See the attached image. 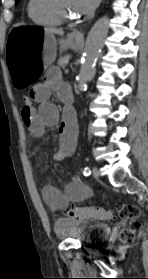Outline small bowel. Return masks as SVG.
Segmentation results:
<instances>
[{
	"label": "small bowel",
	"instance_id": "small-bowel-1",
	"mask_svg": "<svg viewBox=\"0 0 148 279\" xmlns=\"http://www.w3.org/2000/svg\"><path fill=\"white\" fill-rule=\"evenodd\" d=\"M52 90L66 104L62 110L49 101ZM29 94L33 102L39 106L35 108L33 103L30 106H23L21 115L26 127L34 136L40 137L46 128L60 124V145L54 159L57 161L71 159L76 141V120L73 109L67 105L71 100V94L69 88L61 82L60 70L49 69L44 81L32 87ZM90 193L89 187L77 176L72 177L63 190L50 185H46L42 190L45 202L55 210L66 207L70 202L85 200Z\"/></svg>",
	"mask_w": 148,
	"mask_h": 279
}]
</instances>
